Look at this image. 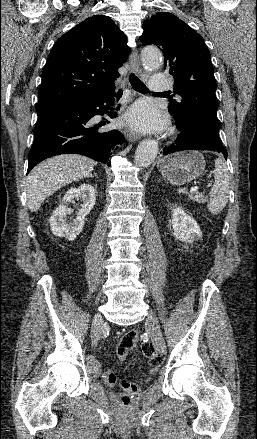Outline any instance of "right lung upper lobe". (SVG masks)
Segmentation results:
<instances>
[{"label": "right lung upper lobe", "instance_id": "1", "mask_svg": "<svg viewBox=\"0 0 257 439\" xmlns=\"http://www.w3.org/2000/svg\"><path fill=\"white\" fill-rule=\"evenodd\" d=\"M126 41L111 18L103 15L89 17L62 35L42 72L37 114L112 90L118 68L130 53Z\"/></svg>", "mask_w": 257, "mask_h": 439}]
</instances>
